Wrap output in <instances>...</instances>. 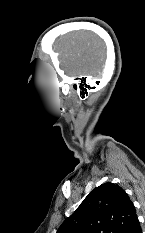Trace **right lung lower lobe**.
<instances>
[{
	"label": "right lung lower lobe",
	"instance_id": "98d812e1",
	"mask_svg": "<svg viewBox=\"0 0 145 233\" xmlns=\"http://www.w3.org/2000/svg\"><path fill=\"white\" fill-rule=\"evenodd\" d=\"M128 233H142V229L138 219L135 220Z\"/></svg>",
	"mask_w": 145,
	"mask_h": 233
}]
</instances>
